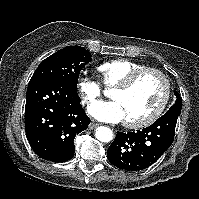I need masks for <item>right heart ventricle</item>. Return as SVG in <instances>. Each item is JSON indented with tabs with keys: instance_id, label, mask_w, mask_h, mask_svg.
Segmentation results:
<instances>
[{
	"instance_id": "e07e8e85",
	"label": "right heart ventricle",
	"mask_w": 199,
	"mask_h": 199,
	"mask_svg": "<svg viewBox=\"0 0 199 199\" xmlns=\"http://www.w3.org/2000/svg\"><path fill=\"white\" fill-rule=\"evenodd\" d=\"M146 67L143 64L127 59H116L102 63L97 70L100 73L102 83L108 87H114L124 81L131 73Z\"/></svg>"
}]
</instances>
